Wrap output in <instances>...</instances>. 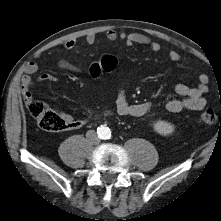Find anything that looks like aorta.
<instances>
[{"label": "aorta", "instance_id": "762f6f07", "mask_svg": "<svg viewBox=\"0 0 221 221\" xmlns=\"http://www.w3.org/2000/svg\"><path fill=\"white\" fill-rule=\"evenodd\" d=\"M98 135L101 139H108L111 136L110 129L106 126H100L98 128Z\"/></svg>", "mask_w": 221, "mask_h": 221}]
</instances>
